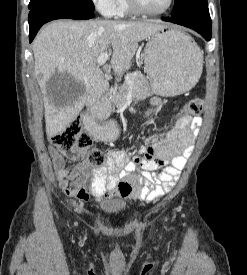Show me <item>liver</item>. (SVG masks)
Returning <instances> with one entry per match:
<instances>
[{
  "mask_svg": "<svg viewBox=\"0 0 247 275\" xmlns=\"http://www.w3.org/2000/svg\"><path fill=\"white\" fill-rule=\"evenodd\" d=\"M165 29L146 21L57 20L45 26L33 42L35 75L44 95L47 137L66 129L84 106L92 107L109 89L98 57L112 54L113 71L121 76L130 69L138 42ZM69 74L81 84L82 93L49 96L47 81L56 73Z\"/></svg>",
  "mask_w": 247,
  "mask_h": 275,
  "instance_id": "1",
  "label": "liver"
}]
</instances>
